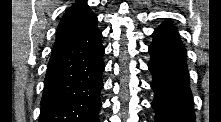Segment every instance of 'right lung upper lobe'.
Wrapping results in <instances>:
<instances>
[{"label": "right lung upper lobe", "mask_w": 221, "mask_h": 122, "mask_svg": "<svg viewBox=\"0 0 221 122\" xmlns=\"http://www.w3.org/2000/svg\"><path fill=\"white\" fill-rule=\"evenodd\" d=\"M97 21V17L88 7L86 1H78L64 14L59 24L56 42L75 34L77 31Z\"/></svg>", "instance_id": "right-lung-upper-lobe-1"}]
</instances>
